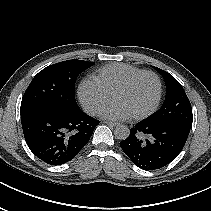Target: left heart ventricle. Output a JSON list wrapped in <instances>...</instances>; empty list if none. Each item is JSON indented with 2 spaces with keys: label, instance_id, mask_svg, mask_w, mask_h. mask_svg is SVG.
<instances>
[{
  "label": "left heart ventricle",
  "instance_id": "b2bd125f",
  "mask_svg": "<svg viewBox=\"0 0 211 211\" xmlns=\"http://www.w3.org/2000/svg\"><path fill=\"white\" fill-rule=\"evenodd\" d=\"M157 93V81L148 75L140 78L126 91L117 94L113 101L120 103L132 116L149 110L156 101Z\"/></svg>",
  "mask_w": 211,
  "mask_h": 211
}]
</instances>
